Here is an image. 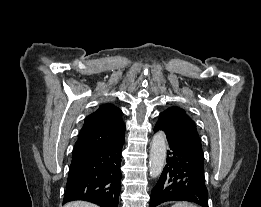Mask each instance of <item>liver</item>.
Here are the masks:
<instances>
[{
  "instance_id": "liver-1",
  "label": "liver",
  "mask_w": 261,
  "mask_h": 207,
  "mask_svg": "<svg viewBox=\"0 0 261 207\" xmlns=\"http://www.w3.org/2000/svg\"><path fill=\"white\" fill-rule=\"evenodd\" d=\"M64 207H98V206L85 201H73L67 203Z\"/></svg>"
}]
</instances>
